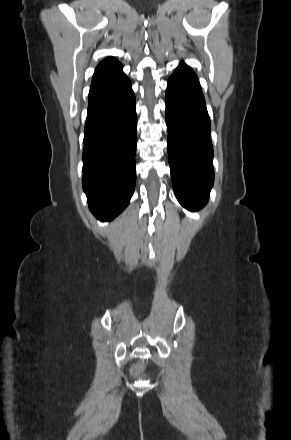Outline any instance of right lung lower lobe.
I'll return each mask as SVG.
<instances>
[{
	"label": "right lung lower lobe",
	"mask_w": 291,
	"mask_h": 440,
	"mask_svg": "<svg viewBox=\"0 0 291 440\" xmlns=\"http://www.w3.org/2000/svg\"><path fill=\"white\" fill-rule=\"evenodd\" d=\"M88 98L83 190L91 212L110 221L128 205L136 183L135 96L122 65L96 71Z\"/></svg>",
	"instance_id": "right-lung-lower-lobe-1"
}]
</instances>
